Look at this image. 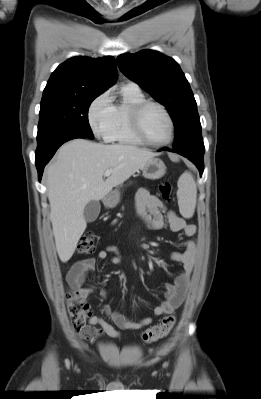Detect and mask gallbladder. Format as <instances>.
Here are the masks:
<instances>
[{
	"label": "gallbladder",
	"instance_id": "bac80fb5",
	"mask_svg": "<svg viewBox=\"0 0 261 399\" xmlns=\"http://www.w3.org/2000/svg\"><path fill=\"white\" fill-rule=\"evenodd\" d=\"M100 203L99 201L92 200L84 208V218L87 222H93L97 219L100 213Z\"/></svg>",
	"mask_w": 261,
	"mask_h": 399
}]
</instances>
